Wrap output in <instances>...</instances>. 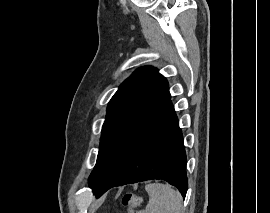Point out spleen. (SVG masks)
<instances>
[{"instance_id":"1","label":"spleen","mask_w":270,"mask_h":213,"mask_svg":"<svg viewBox=\"0 0 270 213\" xmlns=\"http://www.w3.org/2000/svg\"><path fill=\"white\" fill-rule=\"evenodd\" d=\"M149 202L138 213H182V196L171 186L162 183L147 184ZM132 213V212H130Z\"/></svg>"}]
</instances>
